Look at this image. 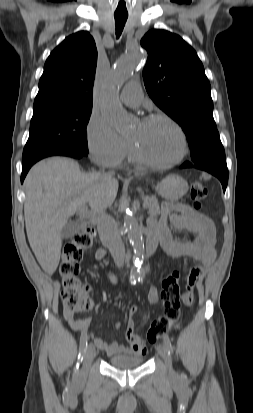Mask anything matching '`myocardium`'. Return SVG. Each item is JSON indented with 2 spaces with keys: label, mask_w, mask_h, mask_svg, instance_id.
Masks as SVG:
<instances>
[{
  "label": "myocardium",
  "mask_w": 253,
  "mask_h": 413,
  "mask_svg": "<svg viewBox=\"0 0 253 413\" xmlns=\"http://www.w3.org/2000/svg\"><path fill=\"white\" fill-rule=\"evenodd\" d=\"M157 120H163V121L169 123L175 129V131L177 132V134L180 138V142H181L180 152L177 155V157L174 158L171 161H168V162H155V161H152V160L148 159L147 157H145L144 154L141 152L140 148L138 147V145L133 141H131V148H132L133 154H134L135 158L137 159V161L140 162L141 164L145 165V166H148V167H151V168H156V169L172 168V167L178 165L179 163H181L187 155V152H188L187 136H186L183 128L179 125V123L176 122L173 118H171L170 116H168L166 114L157 113V114L149 115V116L143 118L141 123L147 124V123L154 122V121H157Z\"/></svg>",
  "instance_id": "f54148a6"
}]
</instances>
